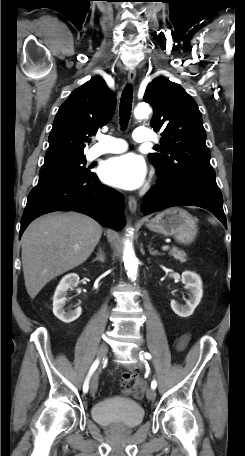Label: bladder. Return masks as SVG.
Returning <instances> with one entry per match:
<instances>
[{"label": "bladder", "mask_w": 245, "mask_h": 456, "mask_svg": "<svg viewBox=\"0 0 245 456\" xmlns=\"http://www.w3.org/2000/svg\"><path fill=\"white\" fill-rule=\"evenodd\" d=\"M91 417L102 426L132 429L142 423L144 411L135 401L125 398H109L92 406Z\"/></svg>", "instance_id": "bladder-1"}]
</instances>
